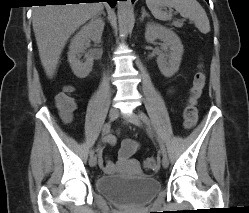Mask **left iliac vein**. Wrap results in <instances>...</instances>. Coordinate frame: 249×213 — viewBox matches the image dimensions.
Masks as SVG:
<instances>
[{"instance_id": "obj_1", "label": "left iliac vein", "mask_w": 249, "mask_h": 213, "mask_svg": "<svg viewBox=\"0 0 249 213\" xmlns=\"http://www.w3.org/2000/svg\"><path fill=\"white\" fill-rule=\"evenodd\" d=\"M124 117L130 121L131 123H133L134 125L140 127L142 126V121L139 115L135 114V113H130L128 115H124ZM162 165L164 168H167L169 166V159L166 156H163L162 158Z\"/></svg>"}]
</instances>
